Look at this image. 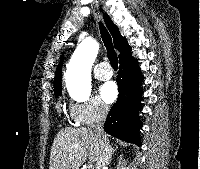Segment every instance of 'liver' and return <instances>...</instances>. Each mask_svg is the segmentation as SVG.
<instances>
[{
  "label": "liver",
  "instance_id": "6515ba94",
  "mask_svg": "<svg viewBox=\"0 0 200 169\" xmlns=\"http://www.w3.org/2000/svg\"><path fill=\"white\" fill-rule=\"evenodd\" d=\"M101 156L100 138L90 128H64L54 138L49 169H79L88 159Z\"/></svg>",
  "mask_w": 200,
  "mask_h": 169
}]
</instances>
